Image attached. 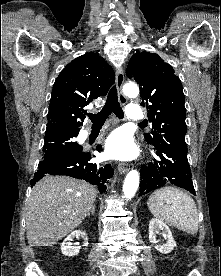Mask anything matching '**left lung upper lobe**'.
<instances>
[{
	"label": "left lung upper lobe",
	"instance_id": "5c2ea615",
	"mask_svg": "<svg viewBox=\"0 0 221 276\" xmlns=\"http://www.w3.org/2000/svg\"><path fill=\"white\" fill-rule=\"evenodd\" d=\"M126 75L141 86V105L146 104L153 128L151 134H145L147 142L188 150L185 98L182 83L171 65L157 54L135 53L128 63Z\"/></svg>",
	"mask_w": 221,
	"mask_h": 276
}]
</instances>
